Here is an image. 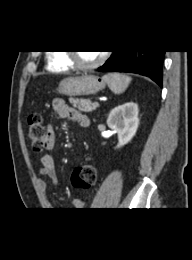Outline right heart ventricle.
<instances>
[{
  "label": "right heart ventricle",
  "instance_id": "e07e8e85",
  "mask_svg": "<svg viewBox=\"0 0 192 260\" xmlns=\"http://www.w3.org/2000/svg\"><path fill=\"white\" fill-rule=\"evenodd\" d=\"M48 70L52 72H67L73 69L66 54L61 51L50 53L48 56Z\"/></svg>",
  "mask_w": 192,
  "mask_h": 260
}]
</instances>
